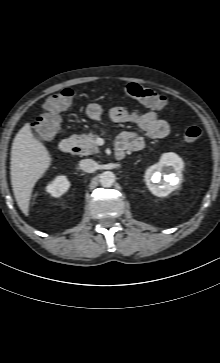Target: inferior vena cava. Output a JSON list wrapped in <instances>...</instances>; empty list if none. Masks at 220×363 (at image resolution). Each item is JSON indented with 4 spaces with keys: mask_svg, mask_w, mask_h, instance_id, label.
Listing matches in <instances>:
<instances>
[{
    "mask_svg": "<svg viewBox=\"0 0 220 363\" xmlns=\"http://www.w3.org/2000/svg\"><path fill=\"white\" fill-rule=\"evenodd\" d=\"M80 169L92 173L98 169V164L92 159H83L79 163Z\"/></svg>",
    "mask_w": 220,
    "mask_h": 363,
    "instance_id": "1",
    "label": "inferior vena cava"
}]
</instances>
